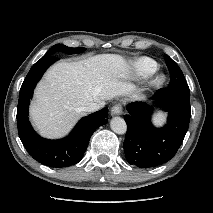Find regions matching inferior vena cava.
Returning <instances> with one entry per match:
<instances>
[{
  "label": "inferior vena cava",
  "instance_id": "obj_1",
  "mask_svg": "<svg viewBox=\"0 0 213 213\" xmlns=\"http://www.w3.org/2000/svg\"><path fill=\"white\" fill-rule=\"evenodd\" d=\"M101 108V105L99 103L91 102L85 107H83V110L86 112H94Z\"/></svg>",
  "mask_w": 213,
  "mask_h": 213
}]
</instances>
